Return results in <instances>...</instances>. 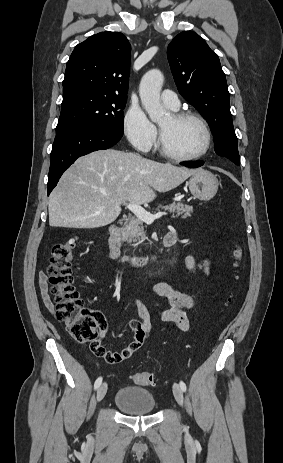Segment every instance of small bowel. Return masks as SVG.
Instances as JSON below:
<instances>
[{"mask_svg":"<svg viewBox=\"0 0 283 463\" xmlns=\"http://www.w3.org/2000/svg\"><path fill=\"white\" fill-rule=\"evenodd\" d=\"M186 266L190 271H194L195 260L193 256H188L186 258ZM39 285L47 308L52 310L53 305L48 296V285L46 274L44 272L40 273ZM153 290L156 295L167 299L170 305L169 308L159 312L158 316L160 320L173 328L181 331H187L190 324L185 310L196 308V302L193 297L188 293L174 289L171 285L165 282L156 283ZM135 305L137 307L140 320H130L129 326L133 331V339L128 346L119 352H116L119 355V361L116 363L128 360L149 339L152 331L151 311L140 299L135 300Z\"/></svg>","mask_w":283,"mask_h":463,"instance_id":"c3829d8e","label":"small bowel"}]
</instances>
